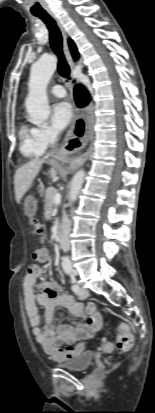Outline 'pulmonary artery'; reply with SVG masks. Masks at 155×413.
I'll return each instance as SVG.
<instances>
[{
    "mask_svg": "<svg viewBox=\"0 0 155 413\" xmlns=\"http://www.w3.org/2000/svg\"><path fill=\"white\" fill-rule=\"evenodd\" d=\"M51 94L55 97L62 98L65 97L66 91L63 86L61 85H54L51 90Z\"/></svg>",
    "mask_w": 155,
    "mask_h": 413,
    "instance_id": "1",
    "label": "pulmonary artery"
}]
</instances>
